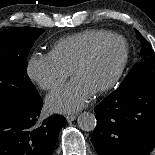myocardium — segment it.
Returning <instances> with one entry per match:
<instances>
[{"mask_svg":"<svg viewBox=\"0 0 155 155\" xmlns=\"http://www.w3.org/2000/svg\"><path fill=\"white\" fill-rule=\"evenodd\" d=\"M119 40L123 43L124 46V56H123V60L116 72V74L114 75V77L103 87H101L100 89H98L94 95H101L103 93H106L108 91H110L111 89H113L118 82L120 81V79L122 78L124 71L126 69V66L128 64L129 61V56H130V50H129V44L127 42V40L125 39V37H123L122 35L118 34V33H110L102 38H100L98 41H96L91 47L90 49L83 55V57L73 66V68L71 69V76L74 77V75L81 70L82 68H84L88 63H90V61L94 58V56L96 55L97 51L100 49V47L102 45H104L106 42L110 41V40Z\"/></svg>","mask_w":155,"mask_h":155,"instance_id":"f54148a6","label":"myocardium"}]
</instances>
